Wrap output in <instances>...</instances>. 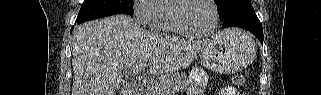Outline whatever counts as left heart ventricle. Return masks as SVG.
Wrapping results in <instances>:
<instances>
[{"label": "left heart ventricle", "instance_id": "b2bd125f", "mask_svg": "<svg viewBox=\"0 0 321 95\" xmlns=\"http://www.w3.org/2000/svg\"><path fill=\"white\" fill-rule=\"evenodd\" d=\"M180 15L184 23L198 31H206L213 24V8L207 0L188 2Z\"/></svg>", "mask_w": 321, "mask_h": 95}]
</instances>
